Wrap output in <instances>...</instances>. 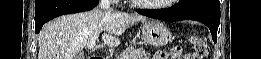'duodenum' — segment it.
I'll return each instance as SVG.
<instances>
[{
	"instance_id": "duodenum-1",
	"label": "duodenum",
	"mask_w": 261,
	"mask_h": 59,
	"mask_svg": "<svg viewBox=\"0 0 261 59\" xmlns=\"http://www.w3.org/2000/svg\"><path fill=\"white\" fill-rule=\"evenodd\" d=\"M90 59H104V58L101 56H91Z\"/></svg>"
}]
</instances>
